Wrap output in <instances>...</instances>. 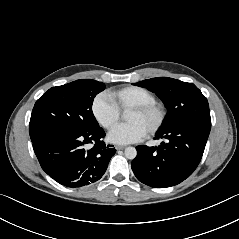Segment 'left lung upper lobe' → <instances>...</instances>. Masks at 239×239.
Here are the masks:
<instances>
[{
	"instance_id": "1",
	"label": "left lung upper lobe",
	"mask_w": 239,
	"mask_h": 239,
	"mask_svg": "<svg viewBox=\"0 0 239 239\" xmlns=\"http://www.w3.org/2000/svg\"><path fill=\"white\" fill-rule=\"evenodd\" d=\"M156 93L168 109L159 129L170 128L186 122L211 123L206 97L192 83L159 77L133 83Z\"/></svg>"
}]
</instances>
